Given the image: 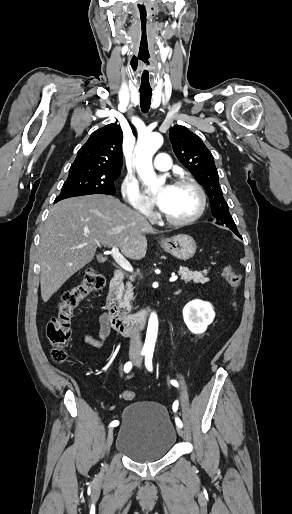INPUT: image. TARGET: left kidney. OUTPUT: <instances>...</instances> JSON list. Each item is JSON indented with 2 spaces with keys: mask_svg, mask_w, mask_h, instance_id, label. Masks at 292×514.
I'll use <instances>...</instances> for the list:
<instances>
[{
  "mask_svg": "<svg viewBox=\"0 0 292 514\" xmlns=\"http://www.w3.org/2000/svg\"><path fill=\"white\" fill-rule=\"evenodd\" d=\"M184 322L192 334H203L215 318V312L209 302L192 300L183 308Z\"/></svg>",
  "mask_w": 292,
  "mask_h": 514,
  "instance_id": "obj_1",
  "label": "left kidney"
}]
</instances>
